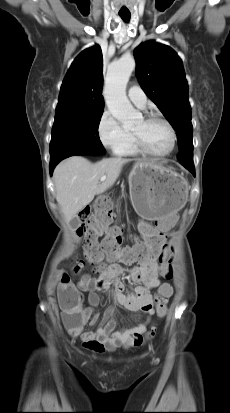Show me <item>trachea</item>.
Listing matches in <instances>:
<instances>
[{"label": "trachea", "instance_id": "trachea-1", "mask_svg": "<svg viewBox=\"0 0 230 413\" xmlns=\"http://www.w3.org/2000/svg\"><path fill=\"white\" fill-rule=\"evenodd\" d=\"M119 16L122 18L123 21L128 22L130 20L131 14L130 13H119Z\"/></svg>", "mask_w": 230, "mask_h": 413}]
</instances>
